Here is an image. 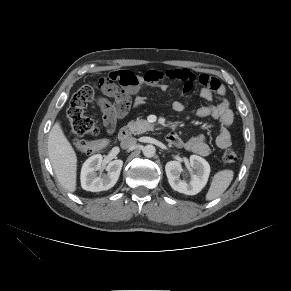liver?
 <instances>
[{
  "label": "liver",
  "mask_w": 291,
  "mask_h": 291,
  "mask_svg": "<svg viewBox=\"0 0 291 291\" xmlns=\"http://www.w3.org/2000/svg\"><path fill=\"white\" fill-rule=\"evenodd\" d=\"M48 156L60 184L69 192L76 190L77 156L59 121L48 136Z\"/></svg>",
  "instance_id": "1"
}]
</instances>
